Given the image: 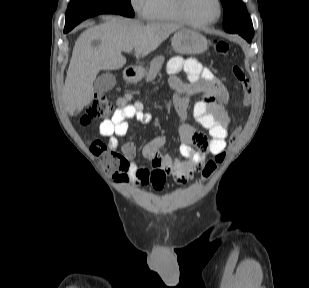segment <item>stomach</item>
I'll return each mask as SVG.
<instances>
[{"mask_svg":"<svg viewBox=\"0 0 309 288\" xmlns=\"http://www.w3.org/2000/svg\"><path fill=\"white\" fill-rule=\"evenodd\" d=\"M173 49L180 54H201L208 48L207 39L199 32L181 28L179 29L171 39ZM144 75V70L138 68L134 77H129L131 82H137L141 80Z\"/></svg>","mask_w":309,"mask_h":288,"instance_id":"1","label":"stomach"}]
</instances>
